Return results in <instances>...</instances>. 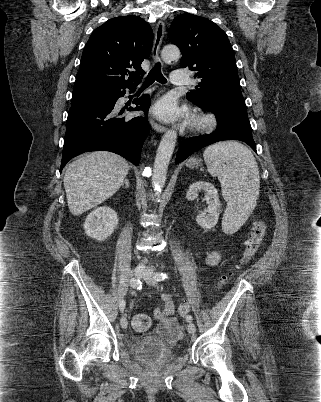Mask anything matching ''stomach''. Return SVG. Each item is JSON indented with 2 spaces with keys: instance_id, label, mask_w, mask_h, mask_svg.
<instances>
[{
  "instance_id": "stomach-1",
  "label": "stomach",
  "mask_w": 321,
  "mask_h": 402,
  "mask_svg": "<svg viewBox=\"0 0 321 402\" xmlns=\"http://www.w3.org/2000/svg\"><path fill=\"white\" fill-rule=\"evenodd\" d=\"M199 163H200V160H198V159H196V158H192V159H190V160L188 161V165H189V166H192V167L198 166Z\"/></svg>"
}]
</instances>
